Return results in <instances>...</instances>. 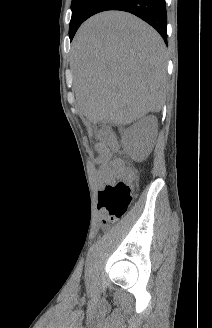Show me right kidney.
<instances>
[{
	"instance_id": "ca27d5eb",
	"label": "right kidney",
	"mask_w": 212,
	"mask_h": 328,
	"mask_svg": "<svg viewBox=\"0 0 212 328\" xmlns=\"http://www.w3.org/2000/svg\"><path fill=\"white\" fill-rule=\"evenodd\" d=\"M157 132V118L147 116L133 125L130 129V149L135 155L147 145L149 138Z\"/></svg>"
}]
</instances>
